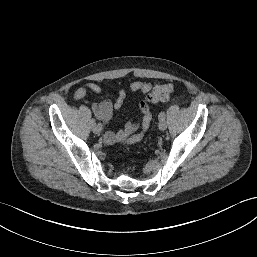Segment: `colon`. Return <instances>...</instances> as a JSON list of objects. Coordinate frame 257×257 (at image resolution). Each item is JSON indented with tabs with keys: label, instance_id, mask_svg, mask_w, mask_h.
Returning <instances> with one entry per match:
<instances>
[{
	"label": "colon",
	"instance_id": "5ec220e1",
	"mask_svg": "<svg viewBox=\"0 0 257 257\" xmlns=\"http://www.w3.org/2000/svg\"><path fill=\"white\" fill-rule=\"evenodd\" d=\"M173 84H160L153 88V90L147 95V100L152 104H157L169 98L174 92Z\"/></svg>",
	"mask_w": 257,
	"mask_h": 257
}]
</instances>
